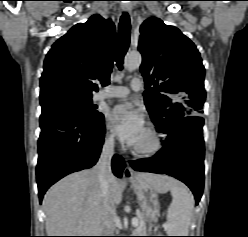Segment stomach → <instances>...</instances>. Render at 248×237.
I'll return each instance as SVG.
<instances>
[{"mask_svg":"<svg viewBox=\"0 0 248 237\" xmlns=\"http://www.w3.org/2000/svg\"><path fill=\"white\" fill-rule=\"evenodd\" d=\"M171 185L172 184H166L164 186V192L168 191ZM132 187L137 196L145 220L148 222L155 221L160 214L158 193L161 192L154 188L150 183L140 178H136L132 181Z\"/></svg>","mask_w":248,"mask_h":237,"instance_id":"0dacf381","label":"stomach"}]
</instances>
